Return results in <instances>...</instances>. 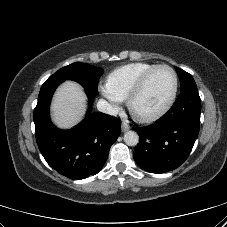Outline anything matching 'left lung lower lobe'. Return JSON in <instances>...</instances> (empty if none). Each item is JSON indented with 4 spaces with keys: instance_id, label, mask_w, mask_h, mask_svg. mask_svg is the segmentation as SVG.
<instances>
[{
    "instance_id": "0a47b994",
    "label": "left lung lower lobe",
    "mask_w": 227,
    "mask_h": 227,
    "mask_svg": "<svg viewBox=\"0 0 227 227\" xmlns=\"http://www.w3.org/2000/svg\"><path fill=\"white\" fill-rule=\"evenodd\" d=\"M201 99L197 86L180 91L172 108L154 124L137 127L139 144L133 157L140 168L164 173L179 167L189 156L199 133Z\"/></svg>"
}]
</instances>
